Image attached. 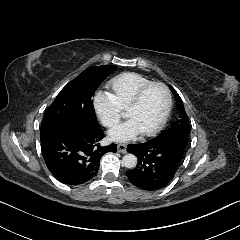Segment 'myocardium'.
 <instances>
[{
    "label": "myocardium",
    "instance_id": "1",
    "mask_svg": "<svg viewBox=\"0 0 240 240\" xmlns=\"http://www.w3.org/2000/svg\"><path fill=\"white\" fill-rule=\"evenodd\" d=\"M152 87H160L163 90L164 96H165V103H164V110H163L162 117L159 120V122L157 123V125L154 128H152L151 130L141 132V134L145 137H151V136H154L157 133H159L163 129V127L165 126V124L168 120L169 113H170L171 106H172V97H171L169 88L161 82H150V83L142 86L136 92L132 101L127 105V107L124 109V112H123V116L126 118V115L128 113L135 110L140 105L144 94L146 93L147 90H149Z\"/></svg>",
    "mask_w": 240,
    "mask_h": 240
}]
</instances>
